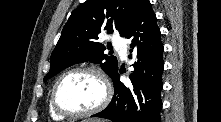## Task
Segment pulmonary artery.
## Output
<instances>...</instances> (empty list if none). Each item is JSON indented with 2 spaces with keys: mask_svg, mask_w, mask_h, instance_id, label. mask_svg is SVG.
<instances>
[{
  "mask_svg": "<svg viewBox=\"0 0 221 122\" xmlns=\"http://www.w3.org/2000/svg\"><path fill=\"white\" fill-rule=\"evenodd\" d=\"M113 46L119 52L120 56L125 59L127 53V44L126 41L122 38L116 37L112 41Z\"/></svg>",
  "mask_w": 221,
  "mask_h": 122,
  "instance_id": "1",
  "label": "pulmonary artery"
}]
</instances>
